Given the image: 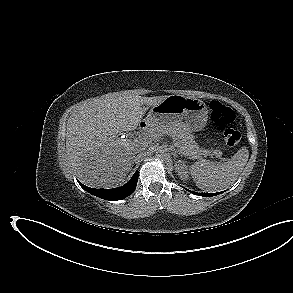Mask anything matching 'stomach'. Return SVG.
Segmentation results:
<instances>
[{
	"label": "stomach",
	"instance_id": "0dacf381",
	"mask_svg": "<svg viewBox=\"0 0 293 293\" xmlns=\"http://www.w3.org/2000/svg\"><path fill=\"white\" fill-rule=\"evenodd\" d=\"M183 119L192 131L202 130L208 119L206 104L195 97L169 95L162 102L151 107L146 122L150 126H157L179 122Z\"/></svg>",
	"mask_w": 293,
	"mask_h": 293
}]
</instances>
